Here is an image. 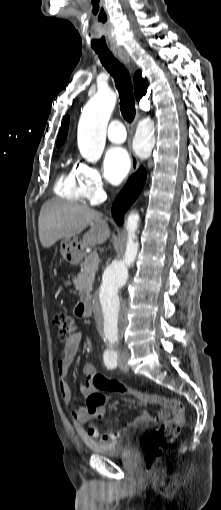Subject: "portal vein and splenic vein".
<instances>
[{"mask_svg": "<svg viewBox=\"0 0 221 510\" xmlns=\"http://www.w3.org/2000/svg\"><path fill=\"white\" fill-rule=\"evenodd\" d=\"M89 257H90V259L94 260L95 262H97L99 260L98 254L96 252L90 253Z\"/></svg>", "mask_w": 221, "mask_h": 510, "instance_id": "18ae733b", "label": "portal vein and splenic vein"}]
</instances>
